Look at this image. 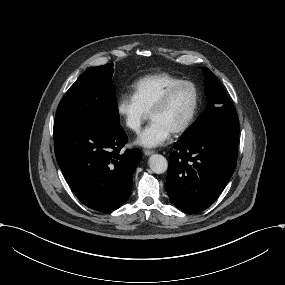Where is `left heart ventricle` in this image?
<instances>
[{"label":"left heart ventricle","instance_id":"obj_1","mask_svg":"<svg viewBox=\"0 0 285 285\" xmlns=\"http://www.w3.org/2000/svg\"><path fill=\"white\" fill-rule=\"evenodd\" d=\"M194 99L195 96L192 87L187 84L181 85L175 90L169 104L155 111L151 115V118L152 120L161 121L173 131L188 117L193 107Z\"/></svg>","mask_w":285,"mask_h":285}]
</instances>
